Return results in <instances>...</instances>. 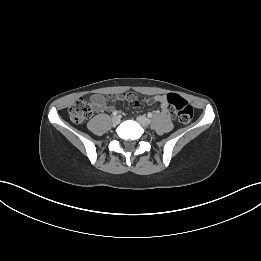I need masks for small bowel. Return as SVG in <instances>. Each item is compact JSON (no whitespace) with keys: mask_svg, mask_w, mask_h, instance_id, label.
I'll use <instances>...</instances> for the list:
<instances>
[{"mask_svg":"<svg viewBox=\"0 0 261 261\" xmlns=\"http://www.w3.org/2000/svg\"><path fill=\"white\" fill-rule=\"evenodd\" d=\"M123 98L131 104L133 107H138L140 105H149L150 107H155L158 102L160 103L161 111L163 113H169V107L165 101L164 95L157 96H146L144 93H135L133 91L126 92ZM118 98L115 97L114 101ZM91 105L93 109L97 112L104 111L107 107L105 98L102 95L95 94L91 97Z\"/></svg>","mask_w":261,"mask_h":261,"instance_id":"c3829d8e","label":"small bowel"}]
</instances>
